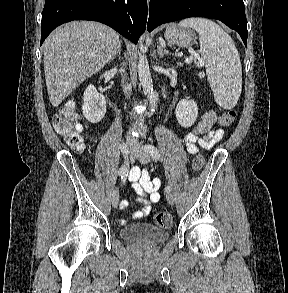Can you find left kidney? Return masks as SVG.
I'll list each match as a JSON object with an SVG mask.
<instances>
[{
	"label": "left kidney",
	"mask_w": 288,
	"mask_h": 293,
	"mask_svg": "<svg viewBox=\"0 0 288 293\" xmlns=\"http://www.w3.org/2000/svg\"><path fill=\"white\" fill-rule=\"evenodd\" d=\"M176 118L178 123L185 128L191 127L198 116L197 104L192 100H181L176 106Z\"/></svg>",
	"instance_id": "5707ae66"
}]
</instances>
